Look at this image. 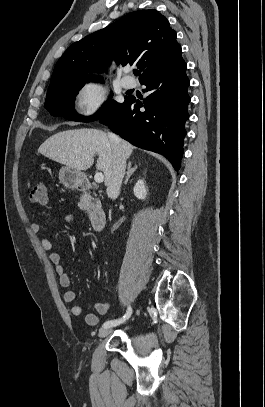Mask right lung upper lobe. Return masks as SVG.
<instances>
[{
  "mask_svg": "<svg viewBox=\"0 0 265 407\" xmlns=\"http://www.w3.org/2000/svg\"><path fill=\"white\" fill-rule=\"evenodd\" d=\"M176 38L169 21L158 11L129 13L73 43L56 63L50 85L86 81L88 72H102L113 59L123 66H137L141 80L181 52Z\"/></svg>",
  "mask_w": 265,
  "mask_h": 407,
  "instance_id": "1",
  "label": "right lung upper lobe"
}]
</instances>
